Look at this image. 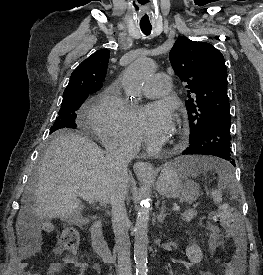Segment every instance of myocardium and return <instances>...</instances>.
<instances>
[{"label":"myocardium","instance_id":"1","mask_svg":"<svg viewBox=\"0 0 263 275\" xmlns=\"http://www.w3.org/2000/svg\"><path fill=\"white\" fill-rule=\"evenodd\" d=\"M175 130H176V135L173 141V145H178L184 139V130L181 126H176Z\"/></svg>","mask_w":263,"mask_h":275}]
</instances>
